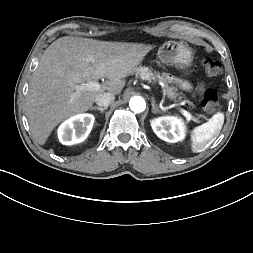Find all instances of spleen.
Wrapping results in <instances>:
<instances>
[{"instance_id":"spleen-1","label":"spleen","mask_w":253,"mask_h":253,"mask_svg":"<svg viewBox=\"0 0 253 253\" xmlns=\"http://www.w3.org/2000/svg\"><path fill=\"white\" fill-rule=\"evenodd\" d=\"M223 123L224 114L218 112L208 122L194 128L191 134L192 152L199 153L204 151L214 137L219 135Z\"/></svg>"}]
</instances>
